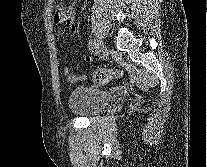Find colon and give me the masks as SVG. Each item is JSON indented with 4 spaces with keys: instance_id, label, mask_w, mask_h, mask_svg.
<instances>
[{
    "instance_id": "obj_1",
    "label": "colon",
    "mask_w": 207,
    "mask_h": 167,
    "mask_svg": "<svg viewBox=\"0 0 207 167\" xmlns=\"http://www.w3.org/2000/svg\"><path fill=\"white\" fill-rule=\"evenodd\" d=\"M121 72L111 68H99L92 74L93 81L98 85H106Z\"/></svg>"
}]
</instances>
